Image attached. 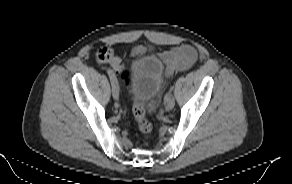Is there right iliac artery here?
<instances>
[{
  "instance_id": "right-iliac-artery-1",
  "label": "right iliac artery",
  "mask_w": 292,
  "mask_h": 184,
  "mask_svg": "<svg viewBox=\"0 0 292 184\" xmlns=\"http://www.w3.org/2000/svg\"><path fill=\"white\" fill-rule=\"evenodd\" d=\"M107 73H108L111 81H113L115 79V75H114L113 71L111 69H107Z\"/></svg>"
}]
</instances>
